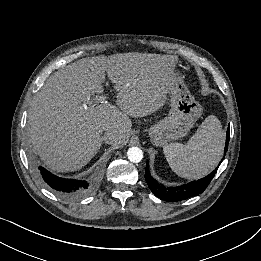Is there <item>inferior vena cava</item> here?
<instances>
[{"label": "inferior vena cava", "mask_w": 261, "mask_h": 261, "mask_svg": "<svg viewBox=\"0 0 261 261\" xmlns=\"http://www.w3.org/2000/svg\"><path fill=\"white\" fill-rule=\"evenodd\" d=\"M111 136H112V133L109 132V131H107V132L105 133V137H104L105 141H108Z\"/></svg>", "instance_id": "inferior-vena-cava-1"}]
</instances>
